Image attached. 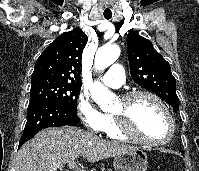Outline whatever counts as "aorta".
Returning a JSON list of instances; mask_svg holds the SVG:
<instances>
[{
    "instance_id": "1",
    "label": "aorta",
    "mask_w": 199,
    "mask_h": 171,
    "mask_svg": "<svg viewBox=\"0 0 199 171\" xmlns=\"http://www.w3.org/2000/svg\"><path fill=\"white\" fill-rule=\"evenodd\" d=\"M119 55L120 49L118 46L105 45L97 51L94 66L97 70H104L113 64ZM90 94L102 110L110 108L115 100V95L99 81H95L90 85Z\"/></svg>"
}]
</instances>
